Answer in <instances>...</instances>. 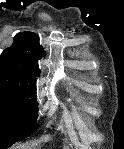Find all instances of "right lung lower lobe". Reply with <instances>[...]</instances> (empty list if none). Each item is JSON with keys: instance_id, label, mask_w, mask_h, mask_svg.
<instances>
[{"instance_id": "98d812e1", "label": "right lung lower lobe", "mask_w": 124, "mask_h": 149, "mask_svg": "<svg viewBox=\"0 0 124 149\" xmlns=\"http://www.w3.org/2000/svg\"><path fill=\"white\" fill-rule=\"evenodd\" d=\"M14 143H16L15 141L12 140H1L0 141V149H7L8 147H10L11 145H13Z\"/></svg>"}]
</instances>
